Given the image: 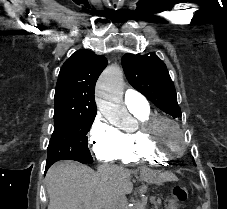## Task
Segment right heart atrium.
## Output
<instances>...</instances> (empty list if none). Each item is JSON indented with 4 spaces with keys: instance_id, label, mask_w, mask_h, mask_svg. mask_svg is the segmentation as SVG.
<instances>
[{
    "instance_id": "obj_1",
    "label": "right heart atrium",
    "mask_w": 227,
    "mask_h": 209,
    "mask_svg": "<svg viewBox=\"0 0 227 209\" xmlns=\"http://www.w3.org/2000/svg\"><path fill=\"white\" fill-rule=\"evenodd\" d=\"M122 132L112 123L98 117L90 131L93 152L100 161H112L116 158L122 142Z\"/></svg>"
}]
</instances>
